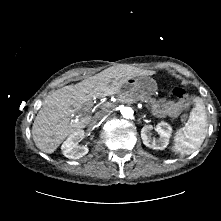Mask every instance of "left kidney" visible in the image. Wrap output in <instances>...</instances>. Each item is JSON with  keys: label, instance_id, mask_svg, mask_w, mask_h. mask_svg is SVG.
<instances>
[{"label": "left kidney", "instance_id": "obj_1", "mask_svg": "<svg viewBox=\"0 0 221 221\" xmlns=\"http://www.w3.org/2000/svg\"><path fill=\"white\" fill-rule=\"evenodd\" d=\"M153 129L152 125H145L141 129V138L143 144L152 149L163 150L169 144V139L171 137L172 128L166 122H160L156 125L155 130L160 135L158 140L151 138V130Z\"/></svg>", "mask_w": 221, "mask_h": 221}]
</instances>
